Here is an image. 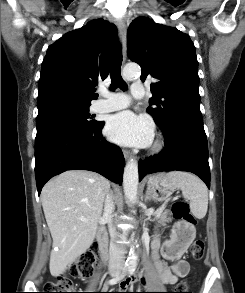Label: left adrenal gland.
<instances>
[{"label":"left adrenal gland","instance_id":"1","mask_svg":"<svg viewBox=\"0 0 245 293\" xmlns=\"http://www.w3.org/2000/svg\"><path fill=\"white\" fill-rule=\"evenodd\" d=\"M151 200V196L149 195L148 192H146L145 194V202L150 201Z\"/></svg>","mask_w":245,"mask_h":293}]
</instances>
